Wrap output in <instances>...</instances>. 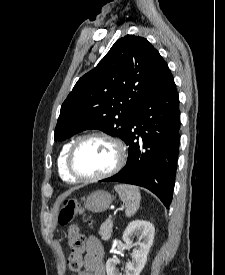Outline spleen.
Instances as JSON below:
<instances>
[{
    "label": "spleen",
    "instance_id": "1",
    "mask_svg": "<svg viewBox=\"0 0 225 275\" xmlns=\"http://www.w3.org/2000/svg\"><path fill=\"white\" fill-rule=\"evenodd\" d=\"M115 191L119 194L120 199L125 204L126 217H132L140 206L141 194L139 189L133 185L119 184L114 186Z\"/></svg>",
    "mask_w": 225,
    "mask_h": 275
}]
</instances>
